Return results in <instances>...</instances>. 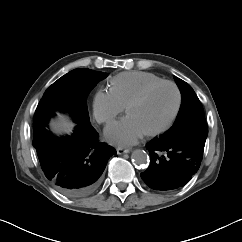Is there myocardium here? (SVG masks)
Listing matches in <instances>:
<instances>
[{
    "instance_id": "f54148a6",
    "label": "myocardium",
    "mask_w": 242,
    "mask_h": 242,
    "mask_svg": "<svg viewBox=\"0 0 242 242\" xmlns=\"http://www.w3.org/2000/svg\"><path fill=\"white\" fill-rule=\"evenodd\" d=\"M161 85H170L174 88V90L176 92V96H177L176 106H175V109H174L170 119L164 125H162L159 128H156L154 130H150L148 132H145V135L148 136V137L157 136V135H160V134L166 132L175 123V121H176V119L179 115L181 105H182V94H181V91H180L178 85L176 83H174L173 81H170V80H161V81L155 82L153 84H150L146 88H144L139 94H137L133 99H131L129 101V103L126 105V112L129 113V110L133 106H135V105L141 103L142 101H144L147 98V96L154 89H156L157 87H159Z\"/></svg>"
}]
</instances>
